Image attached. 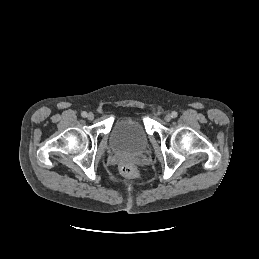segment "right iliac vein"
<instances>
[{
    "mask_svg": "<svg viewBox=\"0 0 259 259\" xmlns=\"http://www.w3.org/2000/svg\"><path fill=\"white\" fill-rule=\"evenodd\" d=\"M87 118L89 119V120H93L94 119V114L93 113H88L87 114Z\"/></svg>",
    "mask_w": 259,
    "mask_h": 259,
    "instance_id": "1",
    "label": "right iliac vein"
}]
</instances>
